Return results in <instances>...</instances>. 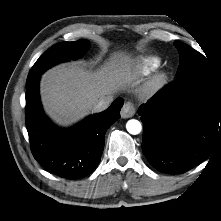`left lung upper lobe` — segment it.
<instances>
[{
	"label": "left lung upper lobe",
	"instance_id": "1",
	"mask_svg": "<svg viewBox=\"0 0 221 221\" xmlns=\"http://www.w3.org/2000/svg\"><path fill=\"white\" fill-rule=\"evenodd\" d=\"M180 55V64L174 80L198 78L221 90V78L211 68L207 59L196 50L181 42H174Z\"/></svg>",
	"mask_w": 221,
	"mask_h": 221
}]
</instances>
